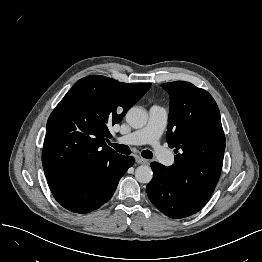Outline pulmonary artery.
I'll list each match as a JSON object with an SVG mask.
<instances>
[{
    "label": "pulmonary artery",
    "instance_id": "1",
    "mask_svg": "<svg viewBox=\"0 0 262 262\" xmlns=\"http://www.w3.org/2000/svg\"><path fill=\"white\" fill-rule=\"evenodd\" d=\"M168 112L166 108L153 105L149 109L147 124L132 133L119 138L121 143L130 145L149 144L154 148L156 157L163 165L173 163V154L167 151L161 144L160 138L166 127Z\"/></svg>",
    "mask_w": 262,
    "mask_h": 262
}]
</instances>
